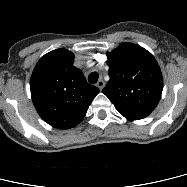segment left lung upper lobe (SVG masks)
Returning a JSON list of instances; mask_svg holds the SVG:
<instances>
[{
  "label": "left lung upper lobe",
  "mask_w": 187,
  "mask_h": 187,
  "mask_svg": "<svg viewBox=\"0 0 187 187\" xmlns=\"http://www.w3.org/2000/svg\"><path fill=\"white\" fill-rule=\"evenodd\" d=\"M109 77L103 93L117 111L133 121L147 117L157 106L163 78L153 55L139 45L122 43L107 52Z\"/></svg>",
  "instance_id": "5c2ea615"
}]
</instances>
